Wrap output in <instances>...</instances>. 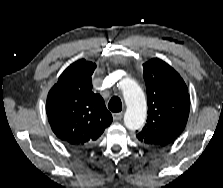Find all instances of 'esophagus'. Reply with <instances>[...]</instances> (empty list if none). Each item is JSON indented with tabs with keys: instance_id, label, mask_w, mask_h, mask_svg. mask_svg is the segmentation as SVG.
<instances>
[{
	"instance_id": "obj_1",
	"label": "esophagus",
	"mask_w": 223,
	"mask_h": 188,
	"mask_svg": "<svg viewBox=\"0 0 223 188\" xmlns=\"http://www.w3.org/2000/svg\"><path fill=\"white\" fill-rule=\"evenodd\" d=\"M123 114H124L123 112L114 113V114H113V119H114L115 121H119V120L122 119Z\"/></svg>"
}]
</instances>
